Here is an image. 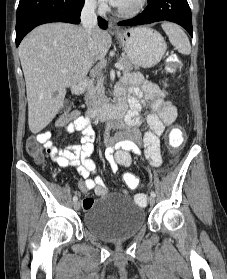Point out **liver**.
I'll return each instance as SVG.
<instances>
[{
  "label": "liver",
  "instance_id": "1",
  "mask_svg": "<svg viewBox=\"0 0 227 279\" xmlns=\"http://www.w3.org/2000/svg\"><path fill=\"white\" fill-rule=\"evenodd\" d=\"M90 50L83 27L49 23L35 28L21 42L19 58L26 82L28 125L43 130L61 109L66 90L84 78L111 47V37L98 27ZM66 69V72L63 70Z\"/></svg>",
  "mask_w": 227,
  "mask_h": 279
}]
</instances>
